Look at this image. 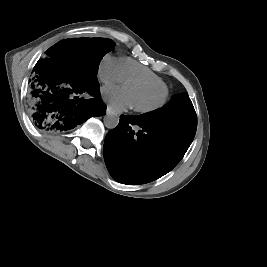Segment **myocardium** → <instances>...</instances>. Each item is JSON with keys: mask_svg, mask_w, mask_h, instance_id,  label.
<instances>
[{"mask_svg": "<svg viewBox=\"0 0 267 267\" xmlns=\"http://www.w3.org/2000/svg\"><path fill=\"white\" fill-rule=\"evenodd\" d=\"M129 82L146 83V84H149L150 86H152L154 88H157V89H160L162 91L160 99L156 103H154L152 105L143 106V107L133 105V109L136 112H140V113L153 112V111L158 110L159 108H161L166 103L167 98H168V89L165 88L162 84L157 83V82H153V81H151L149 79L142 78V77H131V78H128L126 80V83H129Z\"/></svg>", "mask_w": 267, "mask_h": 267, "instance_id": "f54148a6", "label": "myocardium"}]
</instances>
